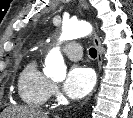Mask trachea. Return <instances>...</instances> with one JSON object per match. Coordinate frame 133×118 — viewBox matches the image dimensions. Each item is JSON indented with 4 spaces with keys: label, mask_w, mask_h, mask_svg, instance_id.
I'll return each instance as SVG.
<instances>
[{
    "label": "trachea",
    "mask_w": 133,
    "mask_h": 118,
    "mask_svg": "<svg viewBox=\"0 0 133 118\" xmlns=\"http://www.w3.org/2000/svg\"><path fill=\"white\" fill-rule=\"evenodd\" d=\"M89 55H90L92 58H96V56H97V51H96V49H95V48H91V49L89 50Z\"/></svg>",
    "instance_id": "obj_1"
}]
</instances>
